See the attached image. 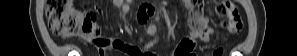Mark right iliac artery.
Masks as SVG:
<instances>
[{
    "label": "right iliac artery",
    "instance_id": "1",
    "mask_svg": "<svg viewBox=\"0 0 297 56\" xmlns=\"http://www.w3.org/2000/svg\"><path fill=\"white\" fill-rule=\"evenodd\" d=\"M155 41H156V40H155ZM155 41L148 43V44L145 46V48H149V47H151V46L155 43Z\"/></svg>",
    "mask_w": 297,
    "mask_h": 56
}]
</instances>
